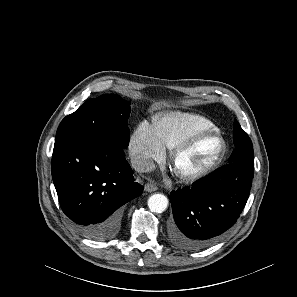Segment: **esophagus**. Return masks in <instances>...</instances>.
I'll return each mask as SVG.
<instances>
[{"label": "esophagus", "mask_w": 297, "mask_h": 297, "mask_svg": "<svg viewBox=\"0 0 297 297\" xmlns=\"http://www.w3.org/2000/svg\"><path fill=\"white\" fill-rule=\"evenodd\" d=\"M145 191L147 192H154L158 190V187L153 183H146L144 186Z\"/></svg>", "instance_id": "esophagus-1"}]
</instances>
